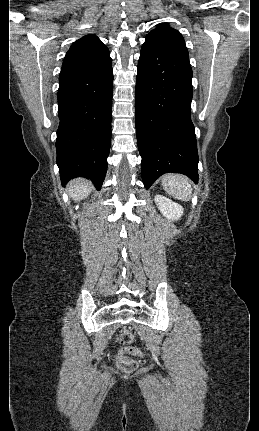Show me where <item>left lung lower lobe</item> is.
I'll return each mask as SVG.
<instances>
[{"label":"left lung lower lobe","instance_id":"1","mask_svg":"<svg viewBox=\"0 0 259 431\" xmlns=\"http://www.w3.org/2000/svg\"><path fill=\"white\" fill-rule=\"evenodd\" d=\"M192 96L189 59L145 41L137 68L135 119L146 189L168 172L198 181Z\"/></svg>","mask_w":259,"mask_h":431}]
</instances>
